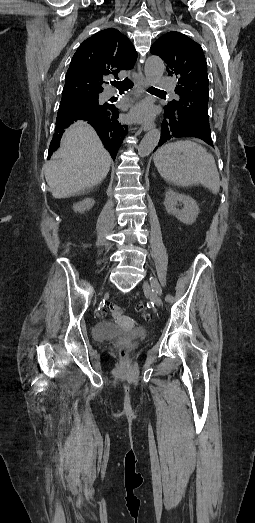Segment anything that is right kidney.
<instances>
[{
  "label": "right kidney",
  "mask_w": 255,
  "mask_h": 523,
  "mask_svg": "<svg viewBox=\"0 0 255 523\" xmlns=\"http://www.w3.org/2000/svg\"><path fill=\"white\" fill-rule=\"evenodd\" d=\"M95 202L93 198H85V200H82V202H79V204H75L74 206V212H86V210H90L92 206H94Z\"/></svg>",
  "instance_id": "ca27d5eb"
}]
</instances>
